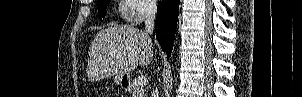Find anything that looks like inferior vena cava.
<instances>
[{"label": "inferior vena cava", "instance_id": "602c4592", "mask_svg": "<svg viewBox=\"0 0 302 97\" xmlns=\"http://www.w3.org/2000/svg\"><path fill=\"white\" fill-rule=\"evenodd\" d=\"M156 7L155 0H147L145 3V32L148 34H152L154 30ZM156 92L157 91H153V97H156Z\"/></svg>", "mask_w": 302, "mask_h": 97}]
</instances>
